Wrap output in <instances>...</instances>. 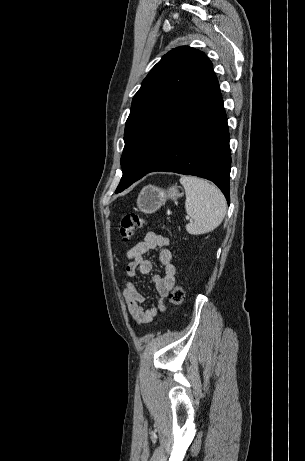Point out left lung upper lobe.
<instances>
[{"label":"left lung upper lobe","mask_w":305,"mask_h":461,"mask_svg":"<svg viewBox=\"0 0 305 461\" xmlns=\"http://www.w3.org/2000/svg\"><path fill=\"white\" fill-rule=\"evenodd\" d=\"M211 67L203 52L181 46L165 54L151 69L133 98L126 121L121 157L123 176L115 193L148 171L161 129Z\"/></svg>","instance_id":"5c2ea615"}]
</instances>
